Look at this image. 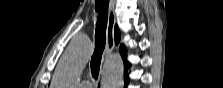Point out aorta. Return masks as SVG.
<instances>
[{
    "label": "aorta",
    "instance_id": "aorta-1",
    "mask_svg": "<svg viewBox=\"0 0 223 88\" xmlns=\"http://www.w3.org/2000/svg\"><path fill=\"white\" fill-rule=\"evenodd\" d=\"M91 53L92 49L87 40H73L58 63L54 76L55 88H75ZM123 73L122 58L118 54H113L105 67L104 88H120L123 83Z\"/></svg>",
    "mask_w": 223,
    "mask_h": 88
}]
</instances>
